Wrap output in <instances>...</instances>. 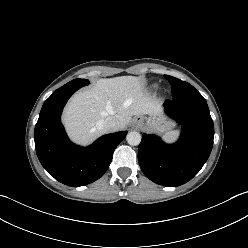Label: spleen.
I'll use <instances>...</instances> for the list:
<instances>
[{
	"instance_id": "spleen-1",
	"label": "spleen",
	"mask_w": 248,
	"mask_h": 248,
	"mask_svg": "<svg viewBox=\"0 0 248 248\" xmlns=\"http://www.w3.org/2000/svg\"><path fill=\"white\" fill-rule=\"evenodd\" d=\"M179 132L174 130V131H170L168 133H166L163 138L168 141L171 142L173 140H175V138L178 136Z\"/></svg>"
}]
</instances>
